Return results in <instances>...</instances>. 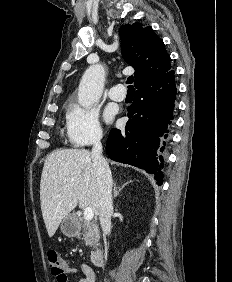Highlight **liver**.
<instances>
[{
	"label": "liver",
	"mask_w": 232,
	"mask_h": 282,
	"mask_svg": "<svg viewBox=\"0 0 232 282\" xmlns=\"http://www.w3.org/2000/svg\"><path fill=\"white\" fill-rule=\"evenodd\" d=\"M40 201L49 237L78 204L99 214L98 185L91 153L85 149L57 150L47 156L41 175Z\"/></svg>",
	"instance_id": "1"
}]
</instances>
